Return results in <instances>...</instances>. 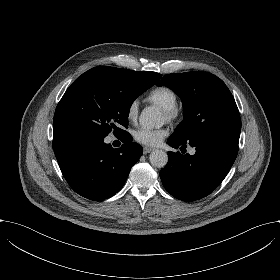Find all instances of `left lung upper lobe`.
Returning a JSON list of instances; mask_svg holds the SVG:
<instances>
[{
	"mask_svg": "<svg viewBox=\"0 0 280 280\" xmlns=\"http://www.w3.org/2000/svg\"><path fill=\"white\" fill-rule=\"evenodd\" d=\"M165 85L182 100L184 120L173 137L187 141L218 132H240L241 120L235 100L225 83L208 72L165 75Z\"/></svg>",
	"mask_w": 280,
	"mask_h": 280,
	"instance_id": "obj_1",
	"label": "left lung upper lobe"
}]
</instances>
